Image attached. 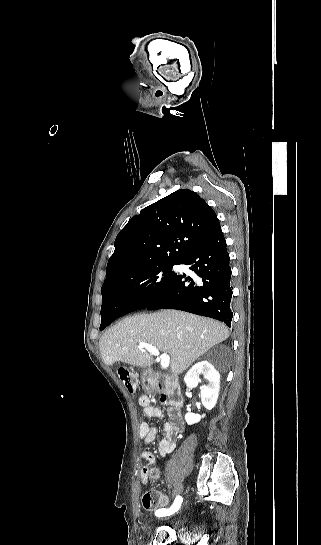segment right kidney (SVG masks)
<instances>
[{"label":"right kidney","instance_id":"1","mask_svg":"<svg viewBox=\"0 0 321 545\" xmlns=\"http://www.w3.org/2000/svg\"><path fill=\"white\" fill-rule=\"evenodd\" d=\"M200 375H203L208 381L207 387L201 389V401L205 409L211 411L217 403L219 397L220 389V375L218 371L214 370L213 365L209 361H201V363H196L188 373L185 375V383L188 389H194L200 383ZM205 417V415H202ZM201 415H194V413H186L185 421L188 425H193V423H199L202 419Z\"/></svg>","mask_w":321,"mask_h":545}]
</instances>
